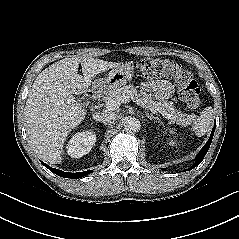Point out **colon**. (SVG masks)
I'll list each match as a JSON object with an SVG mask.
<instances>
[{
    "label": "colon",
    "instance_id": "5ec220e1",
    "mask_svg": "<svg viewBox=\"0 0 239 239\" xmlns=\"http://www.w3.org/2000/svg\"><path fill=\"white\" fill-rule=\"evenodd\" d=\"M137 70L146 78L166 77L171 79L185 105L192 111L200 110L199 86L191 72L181 64L168 59H144L137 64Z\"/></svg>",
    "mask_w": 239,
    "mask_h": 239
}]
</instances>
